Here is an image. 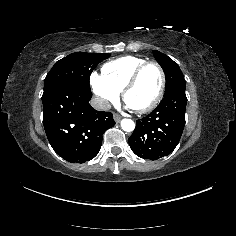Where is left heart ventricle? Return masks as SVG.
I'll list each match as a JSON object with an SVG mask.
<instances>
[{"instance_id": "1", "label": "left heart ventricle", "mask_w": 236, "mask_h": 236, "mask_svg": "<svg viewBox=\"0 0 236 236\" xmlns=\"http://www.w3.org/2000/svg\"><path fill=\"white\" fill-rule=\"evenodd\" d=\"M160 85V73L155 66H148L140 74L136 84L126 96V102L132 108L147 106L155 98Z\"/></svg>"}]
</instances>
